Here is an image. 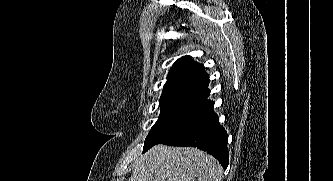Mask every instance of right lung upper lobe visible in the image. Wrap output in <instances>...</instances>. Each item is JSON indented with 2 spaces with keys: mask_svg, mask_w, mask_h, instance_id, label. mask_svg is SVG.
Returning <instances> with one entry per match:
<instances>
[{
  "mask_svg": "<svg viewBox=\"0 0 333 181\" xmlns=\"http://www.w3.org/2000/svg\"><path fill=\"white\" fill-rule=\"evenodd\" d=\"M209 76L204 66L196 63L190 56L178 59L171 68L163 94L160 98L162 108L181 107L210 111L213 101L206 100Z\"/></svg>",
  "mask_w": 333,
  "mask_h": 181,
  "instance_id": "1",
  "label": "right lung upper lobe"
}]
</instances>
